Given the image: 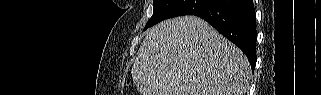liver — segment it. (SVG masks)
<instances>
[{
  "label": "liver",
  "mask_w": 321,
  "mask_h": 95,
  "mask_svg": "<svg viewBox=\"0 0 321 95\" xmlns=\"http://www.w3.org/2000/svg\"><path fill=\"white\" fill-rule=\"evenodd\" d=\"M250 74L243 52L195 16L147 30L132 67L141 95H245Z\"/></svg>",
  "instance_id": "6515ba94"
}]
</instances>
